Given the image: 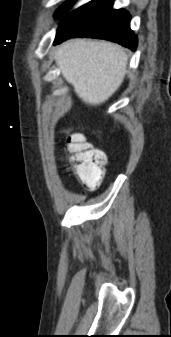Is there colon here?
<instances>
[{
    "label": "colon",
    "instance_id": "obj_1",
    "mask_svg": "<svg viewBox=\"0 0 171 337\" xmlns=\"http://www.w3.org/2000/svg\"><path fill=\"white\" fill-rule=\"evenodd\" d=\"M66 162L71 172L90 189L99 187L106 172L107 158L103 150L95 148L82 134H74L67 140Z\"/></svg>",
    "mask_w": 171,
    "mask_h": 337
}]
</instances>
